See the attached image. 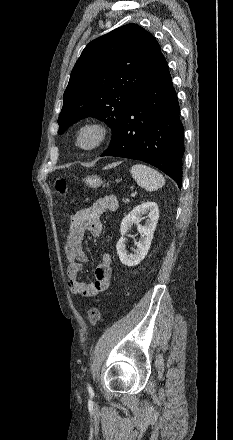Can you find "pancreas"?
<instances>
[{"label": "pancreas", "mask_w": 233, "mask_h": 440, "mask_svg": "<svg viewBox=\"0 0 233 440\" xmlns=\"http://www.w3.org/2000/svg\"><path fill=\"white\" fill-rule=\"evenodd\" d=\"M123 202H124V203H127V202H129V201H128L127 199H123Z\"/></svg>", "instance_id": "cf45deb5"}]
</instances>
